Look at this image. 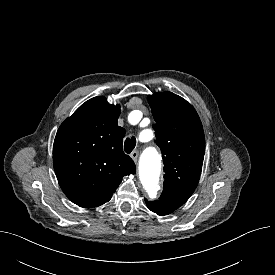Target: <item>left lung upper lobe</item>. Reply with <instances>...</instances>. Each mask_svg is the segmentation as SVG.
Here are the masks:
<instances>
[{
	"mask_svg": "<svg viewBox=\"0 0 275 275\" xmlns=\"http://www.w3.org/2000/svg\"><path fill=\"white\" fill-rule=\"evenodd\" d=\"M164 163L161 197L188 199L196 189L205 153L203 127L195 109L166 91L148 96Z\"/></svg>",
	"mask_w": 275,
	"mask_h": 275,
	"instance_id": "left-lung-upper-lobe-1",
	"label": "left lung upper lobe"
}]
</instances>
